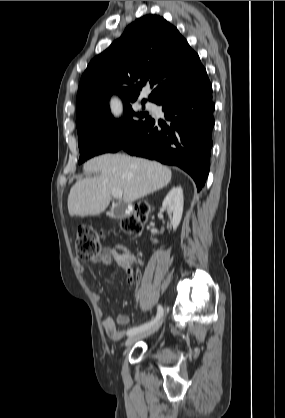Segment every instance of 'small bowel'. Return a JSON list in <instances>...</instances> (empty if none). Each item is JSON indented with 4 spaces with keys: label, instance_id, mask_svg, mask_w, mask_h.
Masks as SVG:
<instances>
[{
    "label": "small bowel",
    "instance_id": "small-bowel-1",
    "mask_svg": "<svg viewBox=\"0 0 285 418\" xmlns=\"http://www.w3.org/2000/svg\"><path fill=\"white\" fill-rule=\"evenodd\" d=\"M132 260H136L141 263V260L138 258H133ZM91 261L93 263H102L106 266H112L113 264L119 266L125 273L126 282L128 284L133 283V267L130 263L127 262V260L120 257L117 250L107 247L100 248L93 256ZM77 270L79 273L83 274L85 272V266L77 263ZM94 297L98 299V295L96 293H94ZM127 324L128 317L122 312L117 314L116 320L110 316H106L103 319V327L107 336L115 342L123 339L124 331L121 329V327Z\"/></svg>",
    "mask_w": 285,
    "mask_h": 418
}]
</instances>
